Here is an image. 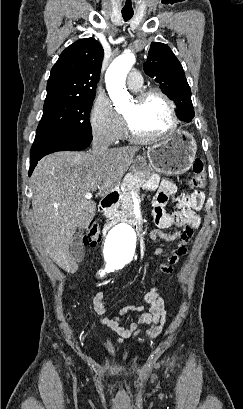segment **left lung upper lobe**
<instances>
[{
    "label": "left lung upper lobe",
    "instance_id": "1",
    "mask_svg": "<svg viewBox=\"0 0 243 409\" xmlns=\"http://www.w3.org/2000/svg\"><path fill=\"white\" fill-rule=\"evenodd\" d=\"M144 71L150 77L155 78L164 94L174 100L178 117L190 122L194 117L191 90L184 70L172 50L163 43L153 42L149 49L148 59L144 63Z\"/></svg>",
    "mask_w": 243,
    "mask_h": 409
}]
</instances>
